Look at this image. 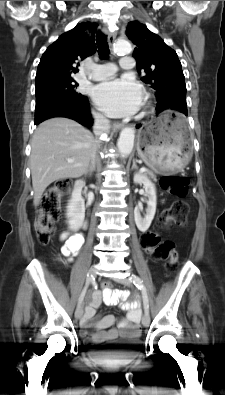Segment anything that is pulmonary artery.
I'll use <instances>...</instances> for the list:
<instances>
[{
	"label": "pulmonary artery",
	"instance_id": "e3ab8cb5",
	"mask_svg": "<svg viewBox=\"0 0 225 395\" xmlns=\"http://www.w3.org/2000/svg\"><path fill=\"white\" fill-rule=\"evenodd\" d=\"M120 67L122 69H132L134 67V60L132 57H122L120 59ZM117 71V67L113 63L96 65L91 74V78L96 81L105 80L112 76Z\"/></svg>",
	"mask_w": 225,
	"mask_h": 395
}]
</instances>
